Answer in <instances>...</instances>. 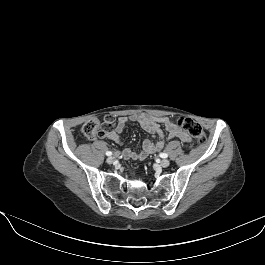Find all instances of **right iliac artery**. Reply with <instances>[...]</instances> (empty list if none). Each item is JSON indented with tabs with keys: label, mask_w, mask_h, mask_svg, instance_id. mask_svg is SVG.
<instances>
[{
	"label": "right iliac artery",
	"mask_w": 265,
	"mask_h": 265,
	"mask_svg": "<svg viewBox=\"0 0 265 265\" xmlns=\"http://www.w3.org/2000/svg\"><path fill=\"white\" fill-rule=\"evenodd\" d=\"M106 155H107V156H111V155H112V152L107 151V152H106Z\"/></svg>",
	"instance_id": "82829eb1"
}]
</instances>
